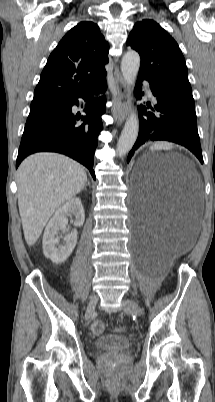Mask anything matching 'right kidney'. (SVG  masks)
<instances>
[{
	"mask_svg": "<svg viewBox=\"0 0 215 402\" xmlns=\"http://www.w3.org/2000/svg\"><path fill=\"white\" fill-rule=\"evenodd\" d=\"M74 215V225L82 226L85 220L84 208L80 198L73 197L69 199L62 207L58 208L49 223L47 224L43 235V252L55 264H61L71 255L77 243V230L74 229L70 234L64 237V244L59 245V231L68 224L67 216Z\"/></svg>",
	"mask_w": 215,
	"mask_h": 402,
	"instance_id": "obj_1",
	"label": "right kidney"
}]
</instances>
